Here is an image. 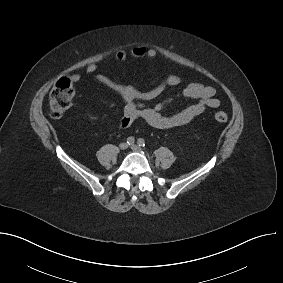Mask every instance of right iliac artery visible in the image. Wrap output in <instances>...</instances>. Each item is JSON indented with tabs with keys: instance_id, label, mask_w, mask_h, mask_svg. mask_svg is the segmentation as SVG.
Segmentation results:
<instances>
[{
	"instance_id": "1",
	"label": "right iliac artery",
	"mask_w": 283,
	"mask_h": 283,
	"mask_svg": "<svg viewBox=\"0 0 283 283\" xmlns=\"http://www.w3.org/2000/svg\"><path fill=\"white\" fill-rule=\"evenodd\" d=\"M135 142V139L133 137H128L127 138V144L132 145Z\"/></svg>"
}]
</instances>
